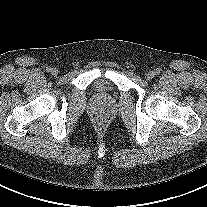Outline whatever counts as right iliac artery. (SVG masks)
Returning <instances> with one entry per match:
<instances>
[{
  "label": "right iliac artery",
  "instance_id": "1",
  "mask_svg": "<svg viewBox=\"0 0 207 207\" xmlns=\"http://www.w3.org/2000/svg\"><path fill=\"white\" fill-rule=\"evenodd\" d=\"M51 70H52L51 67H47V68H46V71H47V72H50Z\"/></svg>",
  "mask_w": 207,
  "mask_h": 207
}]
</instances>
